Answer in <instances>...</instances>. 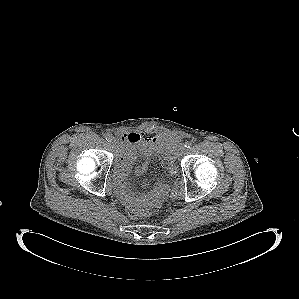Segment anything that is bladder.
<instances>
[{
    "label": "bladder",
    "mask_w": 299,
    "mask_h": 299,
    "mask_svg": "<svg viewBox=\"0 0 299 299\" xmlns=\"http://www.w3.org/2000/svg\"><path fill=\"white\" fill-rule=\"evenodd\" d=\"M174 151H175V147L172 149V153H173V155H174Z\"/></svg>",
    "instance_id": "obj_1"
}]
</instances>
